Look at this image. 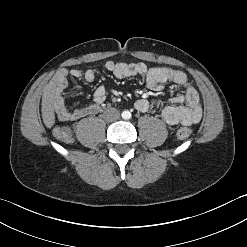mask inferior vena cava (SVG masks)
<instances>
[{"mask_svg":"<svg viewBox=\"0 0 247 247\" xmlns=\"http://www.w3.org/2000/svg\"><path fill=\"white\" fill-rule=\"evenodd\" d=\"M103 117L108 121H115L120 118V112L115 108L106 109Z\"/></svg>","mask_w":247,"mask_h":247,"instance_id":"602c4592","label":"inferior vena cava"}]
</instances>
